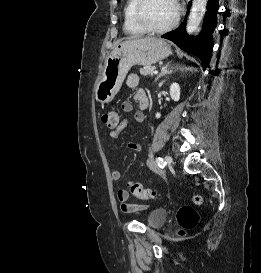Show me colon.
<instances>
[{
	"instance_id": "obj_1",
	"label": "colon",
	"mask_w": 261,
	"mask_h": 273,
	"mask_svg": "<svg viewBox=\"0 0 261 273\" xmlns=\"http://www.w3.org/2000/svg\"><path fill=\"white\" fill-rule=\"evenodd\" d=\"M102 122L109 128L117 127L119 124L118 112L108 111L104 113L102 115ZM129 190L133 196L139 199H151L155 195L153 191L137 182H130ZM194 201L196 203H200L201 198L199 196H195ZM177 219L183 229H191L197 224L199 220V215L191 206L186 205L181 207L178 211Z\"/></svg>"
}]
</instances>
